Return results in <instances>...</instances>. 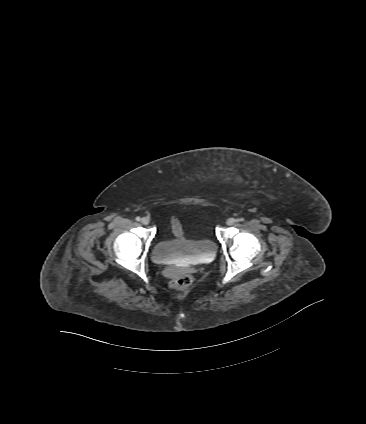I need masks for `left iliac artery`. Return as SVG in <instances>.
I'll use <instances>...</instances> for the list:
<instances>
[{
  "label": "left iliac artery",
  "mask_w": 366,
  "mask_h": 424,
  "mask_svg": "<svg viewBox=\"0 0 366 424\" xmlns=\"http://www.w3.org/2000/svg\"><path fill=\"white\" fill-rule=\"evenodd\" d=\"M237 221L243 222L244 221V218H239V219H237Z\"/></svg>",
  "instance_id": "1"
}]
</instances>
